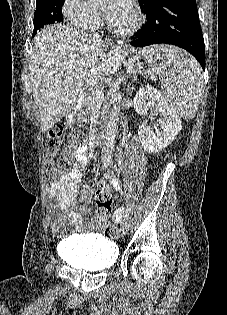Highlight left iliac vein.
I'll use <instances>...</instances> for the list:
<instances>
[{"label":"left iliac vein","mask_w":227,"mask_h":315,"mask_svg":"<svg viewBox=\"0 0 227 315\" xmlns=\"http://www.w3.org/2000/svg\"><path fill=\"white\" fill-rule=\"evenodd\" d=\"M130 224L126 221L122 224L121 233L124 235L129 231Z\"/></svg>","instance_id":"4c4485c4"}]
</instances>
